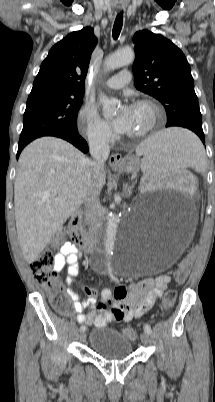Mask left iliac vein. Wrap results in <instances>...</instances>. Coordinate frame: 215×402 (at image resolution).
<instances>
[{
	"label": "left iliac vein",
	"mask_w": 215,
	"mask_h": 402,
	"mask_svg": "<svg viewBox=\"0 0 215 402\" xmlns=\"http://www.w3.org/2000/svg\"><path fill=\"white\" fill-rule=\"evenodd\" d=\"M141 341L144 345H148L149 344V334L146 332H143L140 336Z\"/></svg>",
	"instance_id": "1"
}]
</instances>
